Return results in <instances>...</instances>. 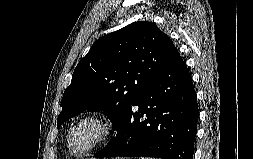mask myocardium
<instances>
[{"instance_id": "obj_1", "label": "myocardium", "mask_w": 253, "mask_h": 159, "mask_svg": "<svg viewBox=\"0 0 253 159\" xmlns=\"http://www.w3.org/2000/svg\"><path fill=\"white\" fill-rule=\"evenodd\" d=\"M95 121L101 126V131L95 140L88 145L85 149L78 151L72 147V138L77 127L86 122ZM115 132V126L112 120L104 113L99 111H90L79 116L70 126L67 133V148L69 152L75 156L82 157L91 153L94 149L98 148L105 142H107Z\"/></svg>"}]
</instances>
